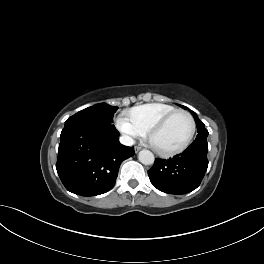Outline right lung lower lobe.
Instances as JSON below:
<instances>
[{
	"instance_id": "right-lung-lower-lobe-1",
	"label": "right lung lower lobe",
	"mask_w": 264,
	"mask_h": 264,
	"mask_svg": "<svg viewBox=\"0 0 264 264\" xmlns=\"http://www.w3.org/2000/svg\"><path fill=\"white\" fill-rule=\"evenodd\" d=\"M114 128L66 125L61 132L56 169L66 189L81 196H96L115 184L120 164L135 154L120 144Z\"/></svg>"
}]
</instances>
